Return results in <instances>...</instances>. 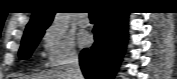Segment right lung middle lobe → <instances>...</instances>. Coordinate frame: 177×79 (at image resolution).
<instances>
[{
  "mask_svg": "<svg viewBox=\"0 0 177 79\" xmlns=\"http://www.w3.org/2000/svg\"><path fill=\"white\" fill-rule=\"evenodd\" d=\"M44 34V30L37 31L30 37L23 39L22 44L19 50V58L20 59H28L37 44L39 43L40 39Z\"/></svg>",
  "mask_w": 177,
  "mask_h": 79,
  "instance_id": "1",
  "label": "right lung middle lobe"
}]
</instances>
